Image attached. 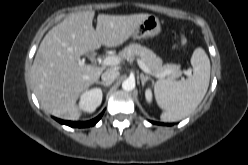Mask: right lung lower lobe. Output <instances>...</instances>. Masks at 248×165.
Returning <instances> with one entry per match:
<instances>
[{"instance_id": "1", "label": "right lung lower lobe", "mask_w": 248, "mask_h": 165, "mask_svg": "<svg viewBox=\"0 0 248 165\" xmlns=\"http://www.w3.org/2000/svg\"><path fill=\"white\" fill-rule=\"evenodd\" d=\"M102 115H103V112L98 117H96L95 119H92V120L87 121V122H71V121L60 120V119H57V118H56V120L58 122H60L61 124H65V125H68V126H71V127H79L80 128V127H89V126L95 125L100 120Z\"/></svg>"}]
</instances>
